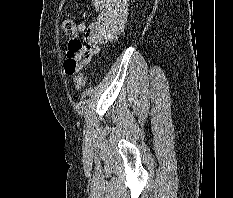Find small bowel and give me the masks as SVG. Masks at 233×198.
I'll return each mask as SVG.
<instances>
[{
	"label": "small bowel",
	"instance_id": "small-bowel-1",
	"mask_svg": "<svg viewBox=\"0 0 233 198\" xmlns=\"http://www.w3.org/2000/svg\"><path fill=\"white\" fill-rule=\"evenodd\" d=\"M128 18L127 0H104V5L95 22L86 26H76L78 33H83L87 45L73 49V40L69 42V52H73L79 68L88 64L98 53L99 45L114 39L125 28ZM67 53V54H68Z\"/></svg>",
	"mask_w": 233,
	"mask_h": 198
}]
</instances>
